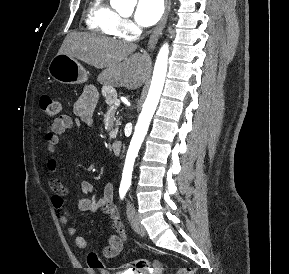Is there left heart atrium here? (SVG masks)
Returning a JSON list of instances; mask_svg holds the SVG:
<instances>
[{
	"mask_svg": "<svg viewBox=\"0 0 289 274\" xmlns=\"http://www.w3.org/2000/svg\"><path fill=\"white\" fill-rule=\"evenodd\" d=\"M163 9V0H138L134 18L141 26H151L160 19Z\"/></svg>",
	"mask_w": 289,
	"mask_h": 274,
	"instance_id": "left-heart-atrium-1",
	"label": "left heart atrium"
}]
</instances>
